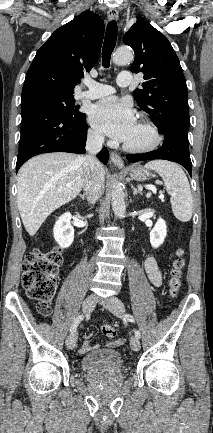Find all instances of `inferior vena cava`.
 <instances>
[{
	"label": "inferior vena cava",
	"mask_w": 213,
	"mask_h": 433,
	"mask_svg": "<svg viewBox=\"0 0 213 433\" xmlns=\"http://www.w3.org/2000/svg\"><path fill=\"white\" fill-rule=\"evenodd\" d=\"M104 136L98 133L89 132L86 142V177L84 191L90 203H95L104 192V175L100 169V163L95 155L102 149Z\"/></svg>",
	"instance_id": "602c4592"
}]
</instances>
